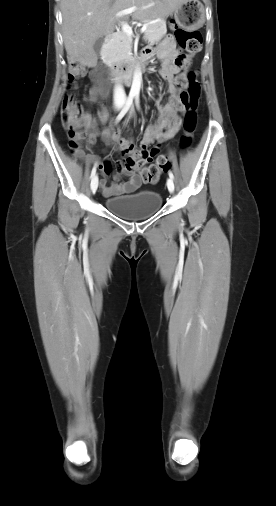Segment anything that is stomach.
Masks as SVG:
<instances>
[{"mask_svg": "<svg viewBox=\"0 0 276 506\" xmlns=\"http://www.w3.org/2000/svg\"><path fill=\"white\" fill-rule=\"evenodd\" d=\"M175 22L186 29L201 27L205 22V8L199 0H186L174 11Z\"/></svg>", "mask_w": 276, "mask_h": 506, "instance_id": "stomach-1", "label": "stomach"}]
</instances>
